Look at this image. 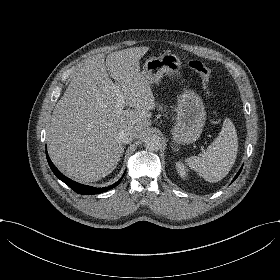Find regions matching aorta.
I'll list each match as a JSON object with an SVG mask.
<instances>
[{
	"mask_svg": "<svg viewBox=\"0 0 280 280\" xmlns=\"http://www.w3.org/2000/svg\"><path fill=\"white\" fill-rule=\"evenodd\" d=\"M144 145L150 152L158 151L162 147V139L156 134L148 135L144 139Z\"/></svg>",
	"mask_w": 280,
	"mask_h": 280,
	"instance_id": "762f6f07",
	"label": "aorta"
}]
</instances>
